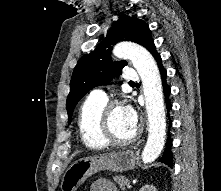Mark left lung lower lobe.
<instances>
[{"label":"left lung lower lobe","mask_w":221,"mask_h":191,"mask_svg":"<svg viewBox=\"0 0 221 191\" xmlns=\"http://www.w3.org/2000/svg\"><path fill=\"white\" fill-rule=\"evenodd\" d=\"M147 50L153 55V57L155 58V60L158 64L160 74H161V78H162L163 91H164L165 101H166V108H167V111H170L171 108H172V104L169 102L168 97H169L171 89L167 85L166 79H165L166 76H167V72L162 66V60H161L160 55L156 51L154 42H152L149 45ZM171 126H172V122L170 120L169 127H171ZM171 145H172V139H171L170 134H169L168 138H167V142H166V146H165L163 155L159 158L160 162H163V163L167 164L170 167L172 166V163H173V154L171 152Z\"/></svg>","instance_id":"1"}]
</instances>
